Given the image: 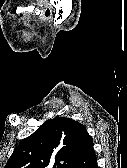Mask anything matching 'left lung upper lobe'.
I'll return each mask as SVG.
<instances>
[{"mask_svg":"<svg viewBox=\"0 0 127 168\" xmlns=\"http://www.w3.org/2000/svg\"><path fill=\"white\" fill-rule=\"evenodd\" d=\"M89 137L85 126L71 118L47 120L20 142L5 168H74Z\"/></svg>","mask_w":127,"mask_h":168,"instance_id":"obj_1","label":"left lung upper lobe"}]
</instances>
